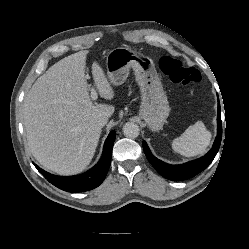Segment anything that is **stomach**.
<instances>
[{
    "label": "stomach",
    "mask_w": 249,
    "mask_h": 249,
    "mask_svg": "<svg viewBox=\"0 0 249 249\" xmlns=\"http://www.w3.org/2000/svg\"><path fill=\"white\" fill-rule=\"evenodd\" d=\"M106 66L113 85L123 84L133 68L141 91L140 115L152 131L162 129L170 107L152 59L130 48L118 47L108 53Z\"/></svg>",
    "instance_id": "obj_1"
}]
</instances>
